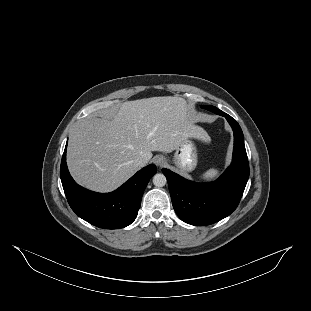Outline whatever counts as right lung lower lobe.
<instances>
[{
  "label": "right lung lower lobe",
  "instance_id": "right-lung-lower-lobe-1",
  "mask_svg": "<svg viewBox=\"0 0 311 311\" xmlns=\"http://www.w3.org/2000/svg\"><path fill=\"white\" fill-rule=\"evenodd\" d=\"M66 148L61 161L60 177L62 186L72 210L90 224L105 228L119 229L130 225L140 208L143 192L156 173L150 164L121 187L111 193H96L79 186L71 177L66 164Z\"/></svg>",
  "mask_w": 311,
  "mask_h": 311
}]
</instances>
